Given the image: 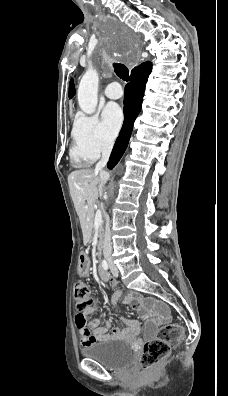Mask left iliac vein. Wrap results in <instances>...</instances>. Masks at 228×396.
Returning <instances> with one entry per match:
<instances>
[{
	"instance_id": "obj_1",
	"label": "left iliac vein",
	"mask_w": 228,
	"mask_h": 396,
	"mask_svg": "<svg viewBox=\"0 0 228 396\" xmlns=\"http://www.w3.org/2000/svg\"><path fill=\"white\" fill-rule=\"evenodd\" d=\"M109 266H110V270H111L112 275H113L114 277H118V275H119L118 269H117V267L113 264L112 261H109Z\"/></svg>"
}]
</instances>
